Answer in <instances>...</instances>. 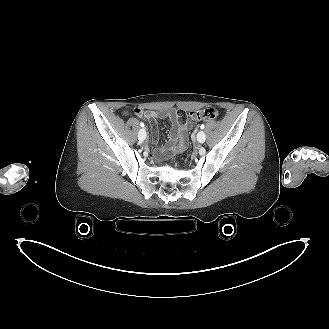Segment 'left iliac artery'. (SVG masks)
<instances>
[{
	"label": "left iliac artery",
	"instance_id": "left-iliac-artery-1",
	"mask_svg": "<svg viewBox=\"0 0 329 329\" xmlns=\"http://www.w3.org/2000/svg\"><path fill=\"white\" fill-rule=\"evenodd\" d=\"M200 128H201V129H204V128H205V125H204V124H202V125L200 126Z\"/></svg>",
	"mask_w": 329,
	"mask_h": 329
}]
</instances>
